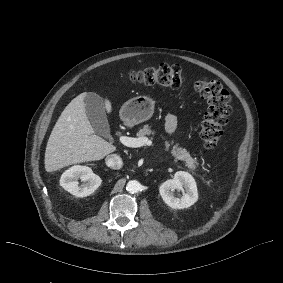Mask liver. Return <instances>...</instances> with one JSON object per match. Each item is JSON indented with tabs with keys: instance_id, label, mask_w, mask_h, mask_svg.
Instances as JSON below:
<instances>
[{
	"instance_id": "obj_1",
	"label": "liver",
	"mask_w": 283,
	"mask_h": 283,
	"mask_svg": "<svg viewBox=\"0 0 283 283\" xmlns=\"http://www.w3.org/2000/svg\"><path fill=\"white\" fill-rule=\"evenodd\" d=\"M82 93L73 99L54 126L45 151V170L56 172L71 165L98 161L117 150V147L95 135L85 109ZM108 115L113 111L109 97H104Z\"/></svg>"
}]
</instances>
